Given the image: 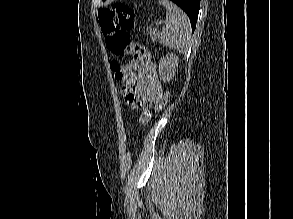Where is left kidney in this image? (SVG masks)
Segmentation results:
<instances>
[{
  "label": "left kidney",
  "instance_id": "1",
  "mask_svg": "<svg viewBox=\"0 0 293 219\" xmlns=\"http://www.w3.org/2000/svg\"><path fill=\"white\" fill-rule=\"evenodd\" d=\"M178 59V56L173 53H169L160 59L158 71L163 82H169L175 76Z\"/></svg>",
  "mask_w": 293,
  "mask_h": 219
}]
</instances>
